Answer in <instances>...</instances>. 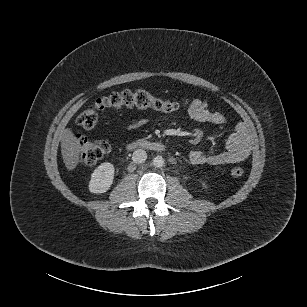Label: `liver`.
Instances as JSON below:
<instances>
[{
  "mask_svg": "<svg viewBox=\"0 0 307 307\" xmlns=\"http://www.w3.org/2000/svg\"><path fill=\"white\" fill-rule=\"evenodd\" d=\"M81 145L70 129H64L61 134V153L68 170H73L79 162Z\"/></svg>",
  "mask_w": 307,
  "mask_h": 307,
  "instance_id": "6515ba94",
  "label": "liver"
}]
</instances>
